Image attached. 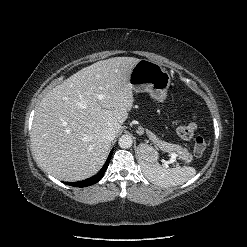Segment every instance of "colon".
<instances>
[{"label":"colon","mask_w":247,"mask_h":247,"mask_svg":"<svg viewBox=\"0 0 247 247\" xmlns=\"http://www.w3.org/2000/svg\"><path fill=\"white\" fill-rule=\"evenodd\" d=\"M197 129L196 117L190 116L186 120H181L177 123V132L184 139H190L194 136ZM207 147L206 140L202 136H197L194 139L193 151L196 156L202 155Z\"/></svg>","instance_id":"colon-1"}]
</instances>
